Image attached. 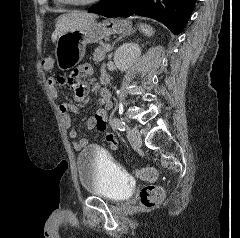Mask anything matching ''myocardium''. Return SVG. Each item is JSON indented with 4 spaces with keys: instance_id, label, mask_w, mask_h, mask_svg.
I'll return each instance as SVG.
<instances>
[{
    "instance_id": "f54148a6",
    "label": "myocardium",
    "mask_w": 240,
    "mask_h": 238,
    "mask_svg": "<svg viewBox=\"0 0 240 238\" xmlns=\"http://www.w3.org/2000/svg\"><path fill=\"white\" fill-rule=\"evenodd\" d=\"M62 3L69 4V5H75V6H88L93 5L101 0H83V1H76V0H58Z\"/></svg>"
}]
</instances>
